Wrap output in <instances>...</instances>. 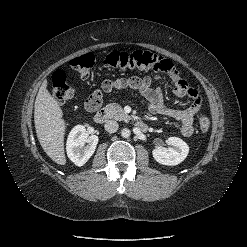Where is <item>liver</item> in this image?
Returning <instances> with one entry per match:
<instances>
[{
	"instance_id": "obj_1",
	"label": "liver",
	"mask_w": 247,
	"mask_h": 247,
	"mask_svg": "<svg viewBox=\"0 0 247 247\" xmlns=\"http://www.w3.org/2000/svg\"><path fill=\"white\" fill-rule=\"evenodd\" d=\"M45 79L39 88L34 105V122L37 138L44 152L57 164L65 165V121L58 102L47 89Z\"/></svg>"
}]
</instances>
